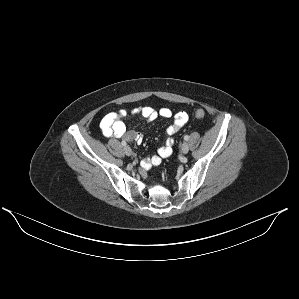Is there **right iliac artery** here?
Returning a JSON list of instances; mask_svg holds the SVG:
<instances>
[{
    "label": "right iliac artery",
    "instance_id": "1",
    "mask_svg": "<svg viewBox=\"0 0 299 299\" xmlns=\"http://www.w3.org/2000/svg\"><path fill=\"white\" fill-rule=\"evenodd\" d=\"M121 144H122V146H124V147L127 145V143H126L125 141H122Z\"/></svg>",
    "mask_w": 299,
    "mask_h": 299
}]
</instances>
